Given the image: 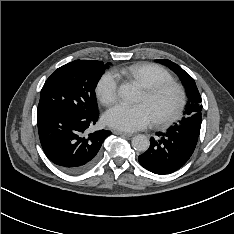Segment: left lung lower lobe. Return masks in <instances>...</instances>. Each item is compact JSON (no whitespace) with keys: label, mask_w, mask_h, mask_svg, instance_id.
<instances>
[{"label":"left lung lower lobe","mask_w":234,"mask_h":234,"mask_svg":"<svg viewBox=\"0 0 234 234\" xmlns=\"http://www.w3.org/2000/svg\"><path fill=\"white\" fill-rule=\"evenodd\" d=\"M150 139L149 149L138 157L139 163L155 174H169L181 168L191 157L197 135L179 126Z\"/></svg>","instance_id":"obj_1"}]
</instances>
